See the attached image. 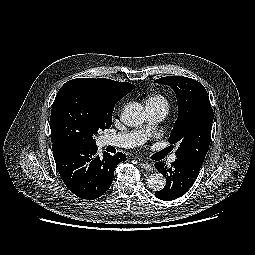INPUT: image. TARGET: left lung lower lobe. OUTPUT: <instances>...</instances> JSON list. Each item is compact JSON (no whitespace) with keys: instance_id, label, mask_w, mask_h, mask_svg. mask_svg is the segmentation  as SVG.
I'll return each instance as SVG.
<instances>
[{"instance_id":"obj_1","label":"left lung lower lobe","mask_w":255,"mask_h":255,"mask_svg":"<svg viewBox=\"0 0 255 255\" xmlns=\"http://www.w3.org/2000/svg\"><path fill=\"white\" fill-rule=\"evenodd\" d=\"M201 166L194 160L180 157L171 163V168L156 162V169L166 177V185L162 190L156 191L155 196L166 201L179 198L193 185Z\"/></svg>"}]
</instances>
